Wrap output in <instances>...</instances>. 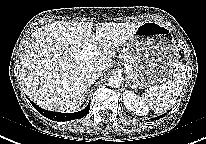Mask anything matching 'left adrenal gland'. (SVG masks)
Wrapping results in <instances>:
<instances>
[{
    "label": "left adrenal gland",
    "instance_id": "left-adrenal-gland-1",
    "mask_svg": "<svg viewBox=\"0 0 206 144\" xmlns=\"http://www.w3.org/2000/svg\"><path fill=\"white\" fill-rule=\"evenodd\" d=\"M126 86H130V82L128 79H126Z\"/></svg>",
    "mask_w": 206,
    "mask_h": 144
}]
</instances>
